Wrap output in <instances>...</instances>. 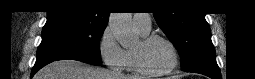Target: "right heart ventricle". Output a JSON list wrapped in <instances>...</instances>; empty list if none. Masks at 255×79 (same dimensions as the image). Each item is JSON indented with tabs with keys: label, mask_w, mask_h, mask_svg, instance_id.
Here are the masks:
<instances>
[{
	"label": "right heart ventricle",
	"mask_w": 255,
	"mask_h": 79,
	"mask_svg": "<svg viewBox=\"0 0 255 79\" xmlns=\"http://www.w3.org/2000/svg\"><path fill=\"white\" fill-rule=\"evenodd\" d=\"M137 31L140 33L141 36H146L149 31L144 32L140 29H137ZM126 68L129 72H135V64H134V58H133V50L132 49H126Z\"/></svg>",
	"instance_id": "1"
}]
</instances>
